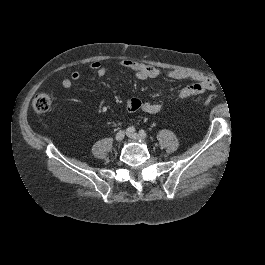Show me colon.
<instances>
[{"mask_svg": "<svg viewBox=\"0 0 265 265\" xmlns=\"http://www.w3.org/2000/svg\"><path fill=\"white\" fill-rule=\"evenodd\" d=\"M216 97H217L216 95H209L205 99L204 103L208 104V103L212 102ZM51 104H52V98H51L50 94L39 93L33 99L32 107H33L34 111H36L37 113H45L50 109Z\"/></svg>", "mask_w": 265, "mask_h": 265, "instance_id": "colon-1", "label": "colon"}]
</instances>
